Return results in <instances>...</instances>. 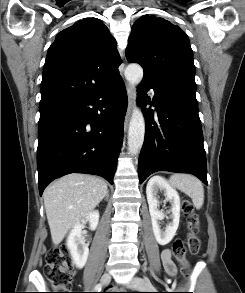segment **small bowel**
Instances as JSON below:
<instances>
[{
	"instance_id": "c3829d8e",
	"label": "small bowel",
	"mask_w": 245,
	"mask_h": 293,
	"mask_svg": "<svg viewBox=\"0 0 245 293\" xmlns=\"http://www.w3.org/2000/svg\"><path fill=\"white\" fill-rule=\"evenodd\" d=\"M162 262L164 264V268H165L166 272L170 276H175L177 274V268H176L175 263L173 262L172 254L169 250L163 251Z\"/></svg>"
}]
</instances>
